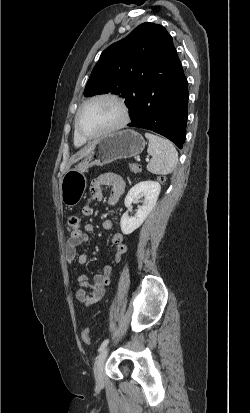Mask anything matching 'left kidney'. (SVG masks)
Instances as JSON below:
<instances>
[{
    "instance_id": "left-kidney-1",
    "label": "left kidney",
    "mask_w": 250,
    "mask_h": 413,
    "mask_svg": "<svg viewBox=\"0 0 250 413\" xmlns=\"http://www.w3.org/2000/svg\"><path fill=\"white\" fill-rule=\"evenodd\" d=\"M160 191L161 186L155 181L140 182L129 190L124 202L126 207H129L132 202L137 200L141 195L144 196V200L142 205L138 206L134 217H129L127 213L122 215L120 226L123 234H131L142 225L144 220L154 208Z\"/></svg>"
}]
</instances>
